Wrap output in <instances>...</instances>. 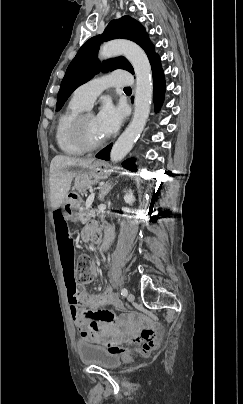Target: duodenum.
<instances>
[{"label": "duodenum", "instance_id": "1", "mask_svg": "<svg viewBox=\"0 0 243 404\" xmlns=\"http://www.w3.org/2000/svg\"><path fill=\"white\" fill-rule=\"evenodd\" d=\"M76 198V196L74 194H70L69 195V201H73ZM91 239L93 243H99L102 239V234L98 229H94L91 233Z\"/></svg>", "mask_w": 243, "mask_h": 404}]
</instances>
